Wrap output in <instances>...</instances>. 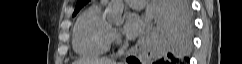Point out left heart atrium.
I'll return each instance as SVG.
<instances>
[{
  "label": "left heart atrium",
  "instance_id": "left-heart-atrium-1",
  "mask_svg": "<svg viewBox=\"0 0 242 64\" xmlns=\"http://www.w3.org/2000/svg\"><path fill=\"white\" fill-rule=\"evenodd\" d=\"M144 31L142 18L136 13H127L125 17V32L129 37H137Z\"/></svg>",
  "mask_w": 242,
  "mask_h": 64
}]
</instances>
